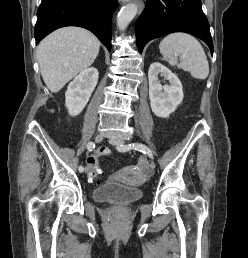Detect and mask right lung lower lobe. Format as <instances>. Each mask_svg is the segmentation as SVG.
<instances>
[{
  "label": "right lung lower lobe",
  "instance_id": "obj_1",
  "mask_svg": "<svg viewBox=\"0 0 248 258\" xmlns=\"http://www.w3.org/2000/svg\"><path fill=\"white\" fill-rule=\"evenodd\" d=\"M117 0H42L34 30L36 44L52 31L65 26L90 30L111 50V19Z\"/></svg>",
  "mask_w": 248,
  "mask_h": 258
}]
</instances>
